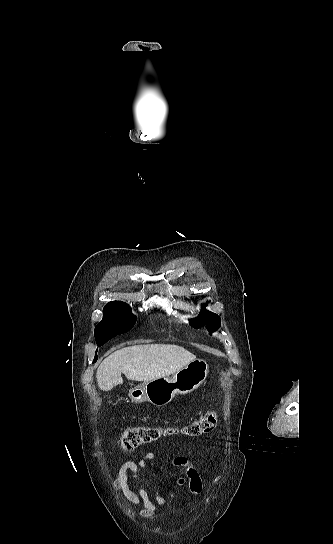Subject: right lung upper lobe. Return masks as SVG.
<instances>
[{
  "instance_id": "obj_1",
  "label": "right lung upper lobe",
  "mask_w": 333,
  "mask_h": 544,
  "mask_svg": "<svg viewBox=\"0 0 333 544\" xmlns=\"http://www.w3.org/2000/svg\"><path fill=\"white\" fill-rule=\"evenodd\" d=\"M110 303H121V302H119V301H113V302H109L108 304H110Z\"/></svg>"
}]
</instances>
